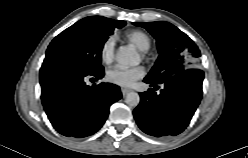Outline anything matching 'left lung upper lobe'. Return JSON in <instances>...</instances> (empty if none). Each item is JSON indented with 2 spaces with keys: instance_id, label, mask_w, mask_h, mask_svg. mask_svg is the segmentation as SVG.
<instances>
[{
  "instance_id": "left-lung-upper-lobe-1",
  "label": "left lung upper lobe",
  "mask_w": 248,
  "mask_h": 158,
  "mask_svg": "<svg viewBox=\"0 0 248 158\" xmlns=\"http://www.w3.org/2000/svg\"><path fill=\"white\" fill-rule=\"evenodd\" d=\"M139 25L156 39L159 52L158 60L146 78L157 83L165 82L176 73L194 67L201 56L197 45L174 25L159 21L133 23Z\"/></svg>"
}]
</instances>
